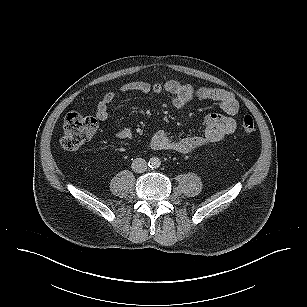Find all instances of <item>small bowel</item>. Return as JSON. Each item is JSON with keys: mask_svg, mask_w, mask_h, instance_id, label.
Returning <instances> with one entry per match:
<instances>
[{"mask_svg": "<svg viewBox=\"0 0 307 307\" xmlns=\"http://www.w3.org/2000/svg\"><path fill=\"white\" fill-rule=\"evenodd\" d=\"M127 93L150 96L167 93L171 95V104L176 109L185 108L193 100H208L216 102L224 112V114L213 113L205 117L203 135L172 138L164 131L156 132L149 143L150 147L155 150L191 153L206 144L220 141L236 129V116L240 107L232 92L219 88H195L178 80H168L164 83L127 82L117 90L103 95L97 105L96 117L100 121H105L109 116V105L118 95ZM117 137L129 139L132 137V131L124 128L117 133Z\"/></svg>", "mask_w": 307, "mask_h": 307, "instance_id": "c3829d8e", "label": "small bowel"}]
</instances>
